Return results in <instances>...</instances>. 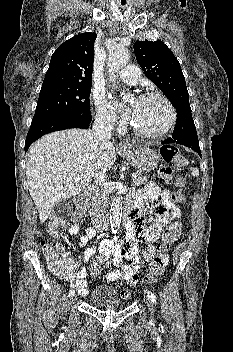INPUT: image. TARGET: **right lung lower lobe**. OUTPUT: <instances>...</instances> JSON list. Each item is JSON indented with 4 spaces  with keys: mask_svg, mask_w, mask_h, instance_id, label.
Here are the masks:
<instances>
[{
    "mask_svg": "<svg viewBox=\"0 0 233 352\" xmlns=\"http://www.w3.org/2000/svg\"><path fill=\"white\" fill-rule=\"evenodd\" d=\"M91 112L84 114L54 115L33 120L25 140V152L29 146L45 134L68 128L87 129L91 123Z\"/></svg>",
    "mask_w": 233,
    "mask_h": 352,
    "instance_id": "98d812e1",
    "label": "right lung lower lobe"
}]
</instances>
